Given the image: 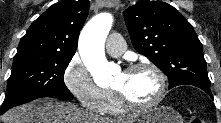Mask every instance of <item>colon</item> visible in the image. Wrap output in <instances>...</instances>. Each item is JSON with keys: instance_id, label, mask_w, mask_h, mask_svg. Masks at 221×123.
I'll use <instances>...</instances> for the list:
<instances>
[{"instance_id": "obj_1", "label": "colon", "mask_w": 221, "mask_h": 123, "mask_svg": "<svg viewBox=\"0 0 221 123\" xmlns=\"http://www.w3.org/2000/svg\"><path fill=\"white\" fill-rule=\"evenodd\" d=\"M189 123H204V120L200 118L199 116H192L189 119Z\"/></svg>"}]
</instances>
